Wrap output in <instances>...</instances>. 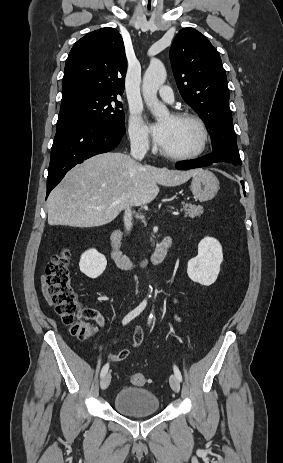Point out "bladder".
<instances>
[{
  "instance_id": "31cf9c89",
  "label": "bladder",
  "mask_w": 283,
  "mask_h": 463,
  "mask_svg": "<svg viewBox=\"0 0 283 463\" xmlns=\"http://www.w3.org/2000/svg\"><path fill=\"white\" fill-rule=\"evenodd\" d=\"M114 407L128 417H145L157 414L160 400L151 391L141 387H123L113 398Z\"/></svg>"
}]
</instances>
